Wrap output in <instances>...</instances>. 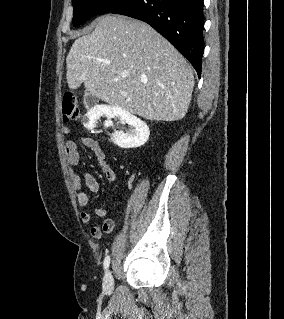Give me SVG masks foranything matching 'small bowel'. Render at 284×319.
I'll return each instance as SVG.
<instances>
[{
  "instance_id": "c3829d8e",
  "label": "small bowel",
  "mask_w": 284,
  "mask_h": 319,
  "mask_svg": "<svg viewBox=\"0 0 284 319\" xmlns=\"http://www.w3.org/2000/svg\"><path fill=\"white\" fill-rule=\"evenodd\" d=\"M71 132V126L65 125L63 127L64 135H69ZM82 142L84 146L90 149L94 154L97 164L106 179L111 182L115 181L116 174L111 166L107 163L105 152L100 143L91 137H84ZM65 155L68 164L71 166L70 177L73 188L76 192L78 203L80 206L85 207L89 203V193H97L100 189V184L92 174L74 169V167L78 166L81 162L78 146L74 141L67 140L65 142ZM94 213L98 217L106 216V211L101 208L95 209ZM92 220L93 215L90 212L83 211L81 213V221L84 224H91ZM115 224L116 223L113 218H106L101 226H91L90 233L94 238L100 239L103 234H109L113 232Z\"/></svg>"
}]
</instances>
